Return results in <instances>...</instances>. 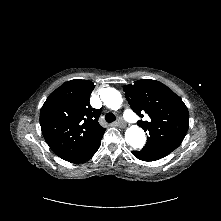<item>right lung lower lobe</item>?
I'll return each instance as SVG.
<instances>
[{"label": "right lung lower lobe", "mask_w": 221, "mask_h": 221, "mask_svg": "<svg viewBox=\"0 0 221 221\" xmlns=\"http://www.w3.org/2000/svg\"><path fill=\"white\" fill-rule=\"evenodd\" d=\"M103 134L96 137L89 146H87L83 151H81L79 154L75 155L74 157L67 159L66 161L71 163H84L91 159V157L97 152V150L100 147L101 139Z\"/></svg>", "instance_id": "obj_1"}]
</instances>
